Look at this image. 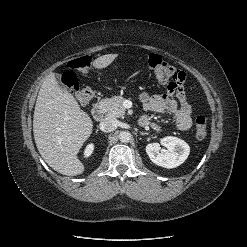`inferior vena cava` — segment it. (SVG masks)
Returning a JSON list of instances; mask_svg holds the SVG:
<instances>
[{"mask_svg":"<svg viewBox=\"0 0 247 247\" xmlns=\"http://www.w3.org/2000/svg\"><path fill=\"white\" fill-rule=\"evenodd\" d=\"M117 127V120L113 117H106L100 123V129L104 132H111Z\"/></svg>","mask_w":247,"mask_h":247,"instance_id":"602c4592","label":"inferior vena cava"}]
</instances>
